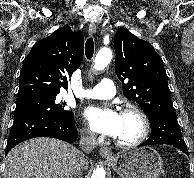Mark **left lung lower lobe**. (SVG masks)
Returning <instances> with one entry per match:
<instances>
[{
	"label": "left lung lower lobe",
	"mask_w": 194,
	"mask_h": 178,
	"mask_svg": "<svg viewBox=\"0 0 194 178\" xmlns=\"http://www.w3.org/2000/svg\"><path fill=\"white\" fill-rule=\"evenodd\" d=\"M148 118L151 125V135L147 141L139 146L167 144L188 154L175 110L156 111L151 113Z\"/></svg>",
	"instance_id": "left-lung-lower-lobe-1"
}]
</instances>
